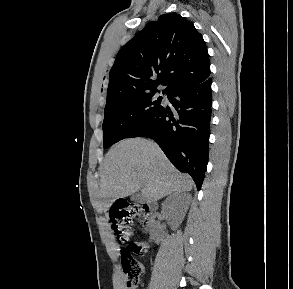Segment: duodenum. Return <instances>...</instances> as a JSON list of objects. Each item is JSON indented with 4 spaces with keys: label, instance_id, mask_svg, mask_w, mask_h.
Returning <instances> with one entry per match:
<instances>
[{
    "label": "duodenum",
    "instance_id": "duodenum-1",
    "mask_svg": "<svg viewBox=\"0 0 293 289\" xmlns=\"http://www.w3.org/2000/svg\"><path fill=\"white\" fill-rule=\"evenodd\" d=\"M143 221L142 228L144 230H149L151 228L152 222L157 212V206L154 204H148L143 206Z\"/></svg>",
    "mask_w": 293,
    "mask_h": 289
}]
</instances>
